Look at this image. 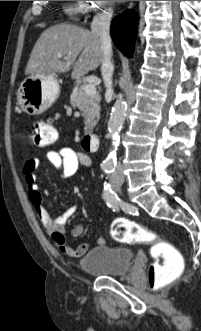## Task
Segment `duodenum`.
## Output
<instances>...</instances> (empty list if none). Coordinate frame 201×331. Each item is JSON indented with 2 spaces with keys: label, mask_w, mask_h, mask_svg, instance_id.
<instances>
[{
  "label": "duodenum",
  "mask_w": 201,
  "mask_h": 331,
  "mask_svg": "<svg viewBox=\"0 0 201 331\" xmlns=\"http://www.w3.org/2000/svg\"><path fill=\"white\" fill-rule=\"evenodd\" d=\"M82 145L85 149L90 151H97L99 149L100 140L96 134H85L82 138Z\"/></svg>",
  "instance_id": "410a0bca"
}]
</instances>
